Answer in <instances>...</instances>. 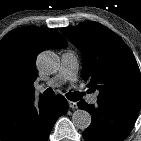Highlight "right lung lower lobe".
<instances>
[{"instance_id": "right-lung-lower-lobe-1", "label": "right lung lower lobe", "mask_w": 141, "mask_h": 141, "mask_svg": "<svg viewBox=\"0 0 141 141\" xmlns=\"http://www.w3.org/2000/svg\"><path fill=\"white\" fill-rule=\"evenodd\" d=\"M66 99L57 95L52 98L34 97L9 103L0 108L1 141H47L56 120L66 113Z\"/></svg>"}]
</instances>
